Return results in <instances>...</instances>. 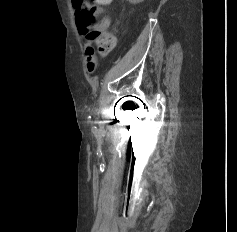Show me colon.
<instances>
[{
	"instance_id": "1",
	"label": "colon",
	"mask_w": 237,
	"mask_h": 232,
	"mask_svg": "<svg viewBox=\"0 0 237 232\" xmlns=\"http://www.w3.org/2000/svg\"><path fill=\"white\" fill-rule=\"evenodd\" d=\"M72 0L73 7L77 11L76 22L82 32L86 35L89 43L96 44L101 54L109 53L114 46L113 37L102 26L97 18L96 6L109 4L112 0Z\"/></svg>"
}]
</instances>
